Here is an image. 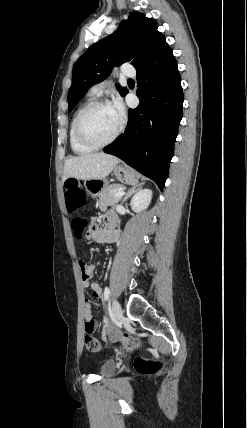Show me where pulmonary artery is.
<instances>
[{
  "mask_svg": "<svg viewBox=\"0 0 247 428\" xmlns=\"http://www.w3.org/2000/svg\"><path fill=\"white\" fill-rule=\"evenodd\" d=\"M121 73L124 76H128V77H134L136 74L135 69L131 65H123L121 68ZM107 83H108V81L101 82V83L94 85L91 88V92L95 95H99Z\"/></svg>",
  "mask_w": 247,
  "mask_h": 428,
  "instance_id": "e3ab8cb5",
  "label": "pulmonary artery"
}]
</instances>
